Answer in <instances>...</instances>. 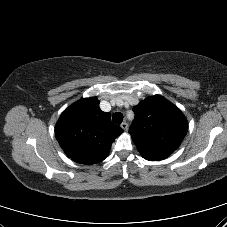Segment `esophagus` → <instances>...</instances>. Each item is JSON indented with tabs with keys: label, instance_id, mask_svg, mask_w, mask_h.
Returning <instances> with one entry per match:
<instances>
[{
	"label": "esophagus",
	"instance_id": "esophagus-1",
	"mask_svg": "<svg viewBox=\"0 0 227 227\" xmlns=\"http://www.w3.org/2000/svg\"><path fill=\"white\" fill-rule=\"evenodd\" d=\"M120 126L125 131L128 129V123H126V122H122Z\"/></svg>",
	"mask_w": 227,
	"mask_h": 227
}]
</instances>
